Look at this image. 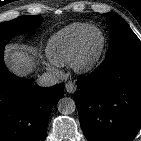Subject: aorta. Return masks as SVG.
I'll return each instance as SVG.
<instances>
[{"instance_id":"1","label":"aorta","mask_w":141,"mask_h":141,"mask_svg":"<svg viewBox=\"0 0 141 141\" xmlns=\"http://www.w3.org/2000/svg\"><path fill=\"white\" fill-rule=\"evenodd\" d=\"M57 109L61 114H72L76 110L75 101L72 98L64 97L58 101Z\"/></svg>"}]
</instances>
